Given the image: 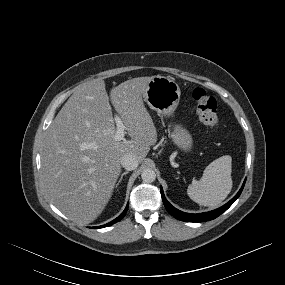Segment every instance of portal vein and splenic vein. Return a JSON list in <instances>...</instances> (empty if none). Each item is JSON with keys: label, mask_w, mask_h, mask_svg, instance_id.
<instances>
[{"label": "portal vein and splenic vein", "mask_w": 285, "mask_h": 285, "mask_svg": "<svg viewBox=\"0 0 285 285\" xmlns=\"http://www.w3.org/2000/svg\"><path fill=\"white\" fill-rule=\"evenodd\" d=\"M115 123H116V126H117V130H116L114 139L116 141H121L124 138L126 127L123 124L122 119L118 115H115Z\"/></svg>", "instance_id": "obj_1"}]
</instances>
